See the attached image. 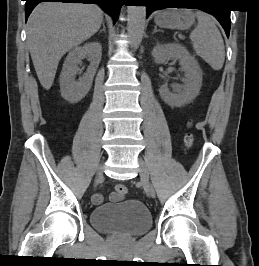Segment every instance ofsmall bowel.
Instances as JSON below:
<instances>
[{"instance_id":"c3829d8e","label":"small bowel","mask_w":259,"mask_h":266,"mask_svg":"<svg viewBox=\"0 0 259 266\" xmlns=\"http://www.w3.org/2000/svg\"><path fill=\"white\" fill-rule=\"evenodd\" d=\"M109 199L113 202L120 201L122 199L121 196L117 195L115 192L110 194ZM92 201L96 205H100L104 201V197L101 194H96L93 196Z\"/></svg>"}]
</instances>
